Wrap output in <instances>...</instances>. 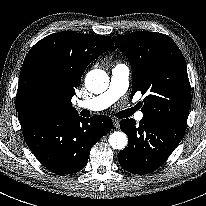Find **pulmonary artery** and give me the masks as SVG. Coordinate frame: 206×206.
I'll list each match as a JSON object with an SVG mask.
<instances>
[{"instance_id": "1", "label": "pulmonary artery", "mask_w": 206, "mask_h": 206, "mask_svg": "<svg viewBox=\"0 0 206 206\" xmlns=\"http://www.w3.org/2000/svg\"><path fill=\"white\" fill-rule=\"evenodd\" d=\"M130 70L125 64H117L113 67L108 89L102 94L88 100L78 101L77 107L90 111H101L111 106L125 94L129 86ZM144 115L136 112L135 119L141 121Z\"/></svg>"}]
</instances>
